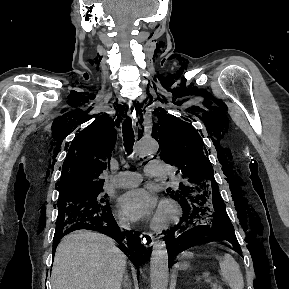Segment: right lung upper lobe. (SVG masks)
I'll use <instances>...</instances> for the list:
<instances>
[{
    "instance_id": "1",
    "label": "right lung upper lobe",
    "mask_w": 289,
    "mask_h": 289,
    "mask_svg": "<svg viewBox=\"0 0 289 289\" xmlns=\"http://www.w3.org/2000/svg\"><path fill=\"white\" fill-rule=\"evenodd\" d=\"M114 121L107 115L82 130L71 144L58 185L60 197L79 191L102 189L100 174L109 166L114 149Z\"/></svg>"
}]
</instances>
